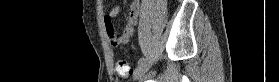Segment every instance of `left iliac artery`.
Returning a JSON list of instances; mask_svg holds the SVG:
<instances>
[{"instance_id":"obj_1","label":"left iliac artery","mask_w":279,"mask_h":82,"mask_svg":"<svg viewBox=\"0 0 279 82\" xmlns=\"http://www.w3.org/2000/svg\"><path fill=\"white\" fill-rule=\"evenodd\" d=\"M144 61H145V58L143 57V58L139 59L138 63H143Z\"/></svg>"}]
</instances>
